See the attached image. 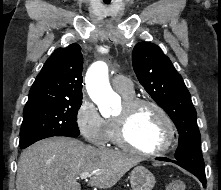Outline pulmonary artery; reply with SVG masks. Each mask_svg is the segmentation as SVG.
<instances>
[{"mask_svg": "<svg viewBox=\"0 0 221 190\" xmlns=\"http://www.w3.org/2000/svg\"><path fill=\"white\" fill-rule=\"evenodd\" d=\"M113 88L119 93H132L133 84L130 78L123 75H115L111 80Z\"/></svg>", "mask_w": 221, "mask_h": 190, "instance_id": "pulmonary-artery-1", "label": "pulmonary artery"}]
</instances>
